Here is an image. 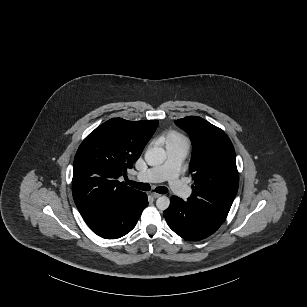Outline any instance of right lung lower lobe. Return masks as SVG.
<instances>
[{
    "instance_id": "1",
    "label": "right lung lower lobe",
    "mask_w": 307,
    "mask_h": 307,
    "mask_svg": "<svg viewBox=\"0 0 307 307\" xmlns=\"http://www.w3.org/2000/svg\"><path fill=\"white\" fill-rule=\"evenodd\" d=\"M147 205V195L139 192L114 209L87 220L86 223L94 233L103 238H120L135 227Z\"/></svg>"
}]
</instances>
